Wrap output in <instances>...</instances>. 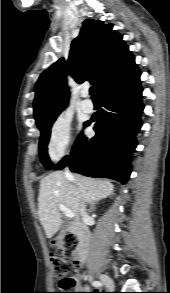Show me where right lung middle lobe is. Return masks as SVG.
Instances as JSON below:
<instances>
[{"label":"right lung middle lobe","mask_w":170,"mask_h":293,"mask_svg":"<svg viewBox=\"0 0 170 293\" xmlns=\"http://www.w3.org/2000/svg\"><path fill=\"white\" fill-rule=\"evenodd\" d=\"M54 122V121H53ZM49 123L42 128H40L41 131V137H40V143H39V150H40V160L42 164L47 168L50 169L53 167V164L51 163L48 155H47V144L50 137V129L52 126V123Z\"/></svg>","instance_id":"right-lung-middle-lobe-1"}]
</instances>
